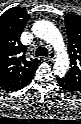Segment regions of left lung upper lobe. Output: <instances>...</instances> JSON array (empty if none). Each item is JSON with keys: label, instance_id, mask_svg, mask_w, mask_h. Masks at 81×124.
<instances>
[{"label": "left lung upper lobe", "instance_id": "left-lung-upper-lobe-1", "mask_svg": "<svg viewBox=\"0 0 81 124\" xmlns=\"http://www.w3.org/2000/svg\"><path fill=\"white\" fill-rule=\"evenodd\" d=\"M65 26L68 36L70 69L64 78L81 87V16L66 15Z\"/></svg>", "mask_w": 81, "mask_h": 124}]
</instances>
